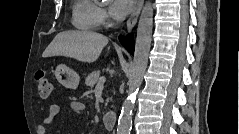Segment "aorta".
Returning a JSON list of instances; mask_svg holds the SVG:
<instances>
[{
    "label": "aorta",
    "mask_w": 239,
    "mask_h": 134,
    "mask_svg": "<svg viewBox=\"0 0 239 134\" xmlns=\"http://www.w3.org/2000/svg\"><path fill=\"white\" fill-rule=\"evenodd\" d=\"M108 1V0H102ZM153 29V6L147 1L142 9L135 42L128 96L124 100L118 120L117 134H130L135 90L141 85L148 64Z\"/></svg>",
    "instance_id": "1"
}]
</instances>
